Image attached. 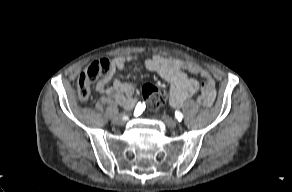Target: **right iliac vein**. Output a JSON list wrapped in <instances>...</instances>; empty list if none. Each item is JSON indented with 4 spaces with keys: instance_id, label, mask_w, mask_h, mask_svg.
I'll list each match as a JSON object with an SVG mask.
<instances>
[{
    "instance_id": "63e3f726",
    "label": "right iliac vein",
    "mask_w": 292,
    "mask_h": 192,
    "mask_svg": "<svg viewBox=\"0 0 292 192\" xmlns=\"http://www.w3.org/2000/svg\"><path fill=\"white\" fill-rule=\"evenodd\" d=\"M112 121L117 125H123L125 123V120L121 117H114Z\"/></svg>"
}]
</instances>
